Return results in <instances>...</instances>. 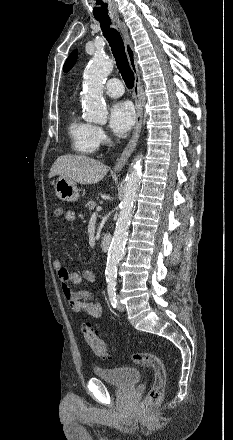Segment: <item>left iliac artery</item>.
<instances>
[{
    "mask_svg": "<svg viewBox=\"0 0 233 440\" xmlns=\"http://www.w3.org/2000/svg\"><path fill=\"white\" fill-rule=\"evenodd\" d=\"M108 285H107V290H108V296H109V300L110 303L112 305L113 308H116V304H117V300H116V281L113 279H110L107 281Z\"/></svg>",
    "mask_w": 233,
    "mask_h": 440,
    "instance_id": "left-iliac-artery-1",
    "label": "left iliac artery"
}]
</instances>
